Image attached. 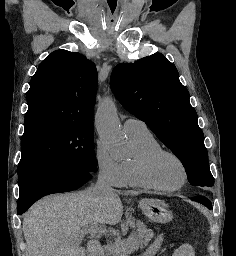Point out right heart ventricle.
<instances>
[{
	"instance_id": "right-heart-ventricle-1",
	"label": "right heart ventricle",
	"mask_w": 236,
	"mask_h": 256,
	"mask_svg": "<svg viewBox=\"0 0 236 256\" xmlns=\"http://www.w3.org/2000/svg\"><path fill=\"white\" fill-rule=\"evenodd\" d=\"M130 137L134 145L135 154L132 158L122 162L126 179L125 186L131 188H149L141 180L139 160L145 154L161 149V146L150 132Z\"/></svg>"
}]
</instances>
